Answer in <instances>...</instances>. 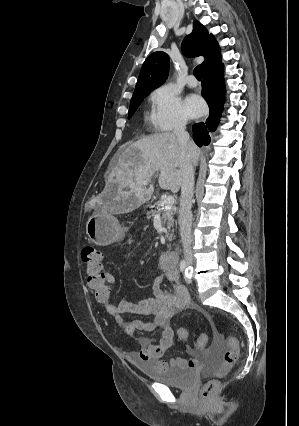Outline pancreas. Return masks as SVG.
<instances>
[{
	"label": "pancreas",
	"instance_id": "cf45deb5",
	"mask_svg": "<svg viewBox=\"0 0 299 426\" xmlns=\"http://www.w3.org/2000/svg\"><path fill=\"white\" fill-rule=\"evenodd\" d=\"M163 201H158L154 204L151 211L148 212V218L154 217L156 214H161V219L164 224L167 225L168 232L166 233V238L171 241L173 238V230L171 229L174 226V215L176 214L175 207H171L168 210H163L161 207Z\"/></svg>",
	"mask_w": 299,
	"mask_h": 426
}]
</instances>
